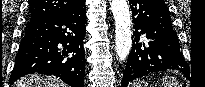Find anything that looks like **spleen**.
<instances>
[{"mask_svg":"<svg viewBox=\"0 0 205 87\" xmlns=\"http://www.w3.org/2000/svg\"><path fill=\"white\" fill-rule=\"evenodd\" d=\"M162 85L164 87H182L180 82L176 78L171 77V76L165 77Z\"/></svg>","mask_w":205,"mask_h":87,"instance_id":"1","label":"spleen"}]
</instances>
